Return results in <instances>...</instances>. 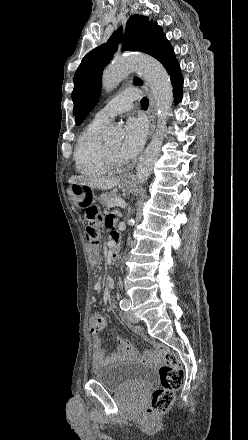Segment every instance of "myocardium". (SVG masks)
Returning a JSON list of instances; mask_svg holds the SVG:
<instances>
[{"instance_id": "f54148a6", "label": "myocardium", "mask_w": 248, "mask_h": 440, "mask_svg": "<svg viewBox=\"0 0 248 440\" xmlns=\"http://www.w3.org/2000/svg\"><path fill=\"white\" fill-rule=\"evenodd\" d=\"M104 159L110 171H120L126 167V163L118 160L107 144H104Z\"/></svg>"}]
</instances>
